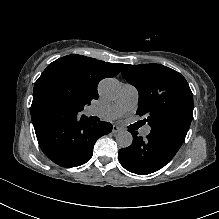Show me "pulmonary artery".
<instances>
[{
	"instance_id": "obj_1",
	"label": "pulmonary artery",
	"mask_w": 219,
	"mask_h": 219,
	"mask_svg": "<svg viewBox=\"0 0 219 219\" xmlns=\"http://www.w3.org/2000/svg\"><path fill=\"white\" fill-rule=\"evenodd\" d=\"M138 90L131 84H124L122 92L118 100L104 108H88L87 115L97 116L100 120L110 122L117 119L125 112L133 109L138 102ZM143 134L147 135L150 132V127L146 126L142 130Z\"/></svg>"
}]
</instances>
